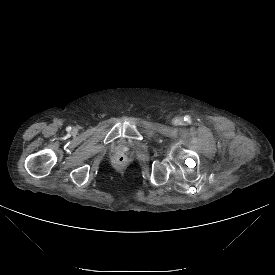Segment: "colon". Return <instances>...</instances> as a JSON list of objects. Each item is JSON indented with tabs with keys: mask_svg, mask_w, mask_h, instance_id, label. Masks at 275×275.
Segmentation results:
<instances>
[{
	"mask_svg": "<svg viewBox=\"0 0 275 275\" xmlns=\"http://www.w3.org/2000/svg\"><path fill=\"white\" fill-rule=\"evenodd\" d=\"M124 160H125V158H124L123 156H118V157L116 158V161H117L118 163H122Z\"/></svg>",
	"mask_w": 275,
	"mask_h": 275,
	"instance_id": "obj_1",
	"label": "colon"
}]
</instances>
